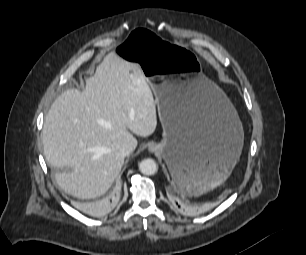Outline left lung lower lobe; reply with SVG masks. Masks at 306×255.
<instances>
[{
	"instance_id": "1",
	"label": "left lung lower lobe",
	"mask_w": 306,
	"mask_h": 255,
	"mask_svg": "<svg viewBox=\"0 0 306 255\" xmlns=\"http://www.w3.org/2000/svg\"><path fill=\"white\" fill-rule=\"evenodd\" d=\"M171 198L173 203L175 204V206L180 209L183 212H188L191 211L193 208L190 207V205L182 200H180L177 197V193L176 192H172L171 193Z\"/></svg>"
}]
</instances>
